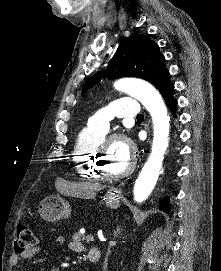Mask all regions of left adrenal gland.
Returning <instances> with one entry per match:
<instances>
[{
	"instance_id": "left-adrenal-gland-1",
	"label": "left adrenal gland",
	"mask_w": 221,
	"mask_h": 271,
	"mask_svg": "<svg viewBox=\"0 0 221 271\" xmlns=\"http://www.w3.org/2000/svg\"><path fill=\"white\" fill-rule=\"evenodd\" d=\"M119 233H121V227H120V225H117V227L114 231V237H118Z\"/></svg>"
}]
</instances>
